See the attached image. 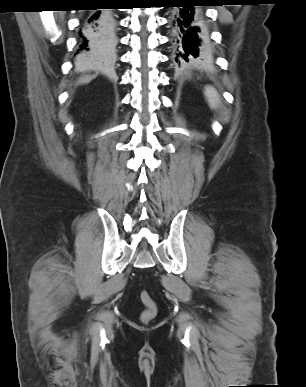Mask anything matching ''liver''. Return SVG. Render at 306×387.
I'll list each match as a JSON object with an SVG mask.
<instances>
[{
	"label": "liver",
	"instance_id": "obj_1",
	"mask_svg": "<svg viewBox=\"0 0 306 387\" xmlns=\"http://www.w3.org/2000/svg\"><path fill=\"white\" fill-rule=\"evenodd\" d=\"M91 76H84L79 79V83H89L91 81Z\"/></svg>",
	"mask_w": 306,
	"mask_h": 387
}]
</instances>
